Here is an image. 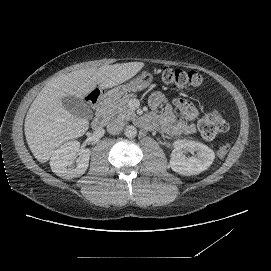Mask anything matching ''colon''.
<instances>
[{
    "label": "colon",
    "instance_id": "5ec220e1",
    "mask_svg": "<svg viewBox=\"0 0 271 271\" xmlns=\"http://www.w3.org/2000/svg\"><path fill=\"white\" fill-rule=\"evenodd\" d=\"M162 81L167 88L176 91H186L190 88L198 87L202 84V76L194 71H184L180 69L164 68L162 72ZM102 95L98 89L94 90L89 99L95 103ZM198 128L201 135L206 139H212L218 134L225 132L229 128V121L220 111H212L198 122ZM230 150L228 143H223L217 148V155L224 157Z\"/></svg>",
    "mask_w": 271,
    "mask_h": 271
}]
</instances>
